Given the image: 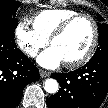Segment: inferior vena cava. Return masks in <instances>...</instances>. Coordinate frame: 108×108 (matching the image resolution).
Returning a JSON list of instances; mask_svg holds the SVG:
<instances>
[{"instance_id": "obj_1", "label": "inferior vena cava", "mask_w": 108, "mask_h": 108, "mask_svg": "<svg viewBox=\"0 0 108 108\" xmlns=\"http://www.w3.org/2000/svg\"><path fill=\"white\" fill-rule=\"evenodd\" d=\"M27 54H29L30 56H36L37 54V50L34 48H27L26 49Z\"/></svg>"}]
</instances>
